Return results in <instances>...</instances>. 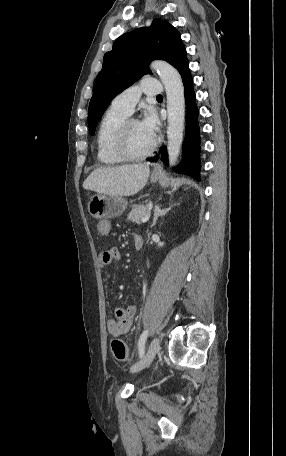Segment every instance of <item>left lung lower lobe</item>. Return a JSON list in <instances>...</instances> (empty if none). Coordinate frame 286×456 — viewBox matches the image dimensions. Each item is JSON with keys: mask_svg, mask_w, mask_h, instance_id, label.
<instances>
[{"mask_svg": "<svg viewBox=\"0 0 286 456\" xmlns=\"http://www.w3.org/2000/svg\"><path fill=\"white\" fill-rule=\"evenodd\" d=\"M182 76L185 89L186 102V137L183 146L184 159L178 172L189 175L200 181V128L198 125L199 111L196 106V96L193 90V79L189 70V63L186 61L178 69ZM161 152L165 153L166 148H162ZM159 156L149 159V161L158 160ZM162 161L166 164V155L162 156Z\"/></svg>", "mask_w": 286, "mask_h": 456, "instance_id": "obj_1", "label": "left lung lower lobe"}]
</instances>
